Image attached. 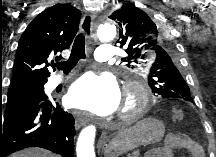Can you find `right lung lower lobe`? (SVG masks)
I'll return each instance as SVG.
<instances>
[{"label": "right lung lower lobe", "instance_id": "98d812e1", "mask_svg": "<svg viewBox=\"0 0 216 157\" xmlns=\"http://www.w3.org/2000/svg\"><path fill=\"white\" fill-rule=\"evenodd\" d=\"M74 118L56 101L31 98L0 113V157L41 147L74 157Z\"/></svg>", "mask_w": 216, "mask_h": 157}]
</instances>
